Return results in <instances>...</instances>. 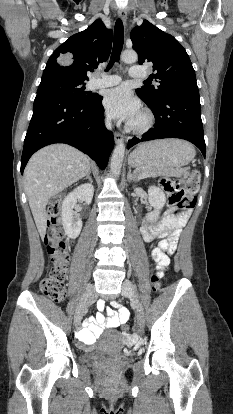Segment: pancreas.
Instances as JSON below:
<instances>
[{
	"mask_svg": "<svg viewBox=\"0 0 233 414\" xmlns=\"http://www.w3.org/2000/svg\"><path fill=\"white\" fill-rule=\"evenodd\" d=\"M135 174L138 176L144 175V178L147 177H157L160 175H170V176H181L183 175L184 177H187L189 175L188 171H178V170H172L169 172H162V171H158V170H153L151 168H147V167H143V168H139L135 171Z\"/></svg>",
	"mask_w": 233,
	"mask_h": 414,
	"instance_id": "pancreas-1",
	"label": "pancreas"
}]
</instances>
